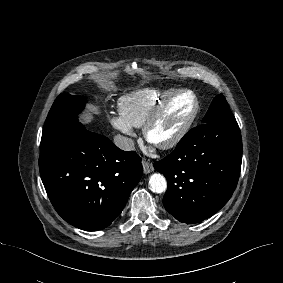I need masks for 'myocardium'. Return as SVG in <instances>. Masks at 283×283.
Masks as SVG:
<instances>
[{
  "mask_svg": "<svg viewBox=\"0 0 283 283\" xmlns=\"http://www.w3.org/2000/svg\"><path fill=\"white\" fill-rule=\"evenodd\" d=\"M190 96L193 101V107L190 111L189 115L182 123V125L178 128V130L171 135L168 139L161 142H154L151 139L150 133L156 122L160 119V117L164 114L170 104L180 96ZM200 109V104L198 97L196 94L190 90H177L168 95L148 116L146 121L142 126V131L144 138L149 142L154 144L160 149H170L176 146L190 131L192 128Z\"/></svg>",
  "mask_w": 283,
  "mask_h": 283,
  "instance_id": "obj_1",
  "label": "myocardium"
}]
</instances>
